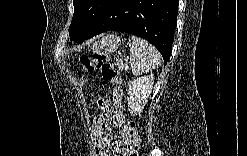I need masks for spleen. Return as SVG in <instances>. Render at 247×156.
Instances as JSON below:
<instances>
[{"mask_svg": "<svg viewBox=\"0 0 247 156\" xmlns=\"http://www.w3.org/2000/svg\"><path fill=\"white\" fill-rule=\"evenodd\" d=\"M130 64L132 73L136 76L158 68L161 55L148 41L132 36L129 39Z\"/></svg>", "mask_w": 247, "mask_h": 156, "instance_id": "1", "label": "spleen"}]
</instances>
